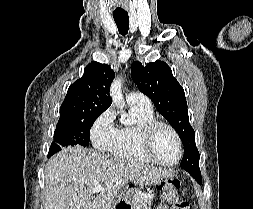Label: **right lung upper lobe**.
I'll return each mask as SVG.
<instances>
[{"instance_id":"obj_1","label":"right lung upper lobe","mask_w":253,"mask_h":209,"mask_svg":"<svg viewBox=\"0 0 253 209\" xmlns=\"http://www.w3.org/2000/svg\"><path fill=\"white\" fill-rule=\"evenodd\" d=\"M114 77L115 73L110 66L89 63L83 76L69 87L60 107L58 122L88 113L104 112L112 103L109 87Z\"/></svg>"}]
</instances>
